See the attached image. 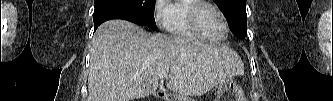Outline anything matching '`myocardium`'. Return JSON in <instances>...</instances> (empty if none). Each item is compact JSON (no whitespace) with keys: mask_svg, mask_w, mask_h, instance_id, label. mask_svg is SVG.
<instances>
[{"mask_svg":"<svg viewBox=\"0 0 333 101\" xmlns=\"http://www.w3.org/2000/svg\"><path fill=\"white\" fill-rule=\"evenodd\" d=\"M203 7H210L213 10H215L219 16L221 17L223 24H224V33L221 37L219 38H211L208 37L201 29L200 24H199V12ZM188 21L190 24V27L192 30L200 36L202 39L212 41V42H220L224 40L228 33H229V25L228 21L224 15V13L213 3L207 2V1H195L188 9Z\"/></svg>","mask_w":333,"mask_h":101,"instance_id":"1","label":"myocardium"}]
</instances>
